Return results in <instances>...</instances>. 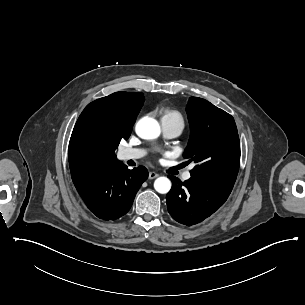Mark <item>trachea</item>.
Returning a JSON list of instances; mask_svg holds the SVG:
<instances>
[{
    "instance_id": "obj_1",
    "label": "trachea",
    "mask_w": 305,
    "mask_h": 305,
    "mask_svg": "<svg viewBox=\"0 0 305 305\" xmlns=\"http://www.w3.org/2000/svg\"><path fill=\"white\" fill-rule=\"evenodd\" d=\"M178 169V168H177ZM177 169H174V168H169L168 170H166L167 173H170V174H177L178 173V170Z\"/></svg>"
}]
</instances>
